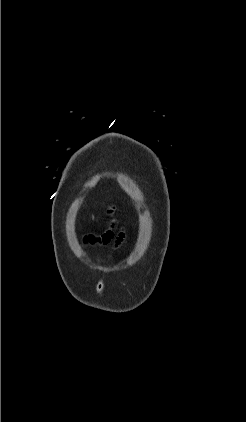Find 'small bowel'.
Returning a JSON list of instances; mask_svg holds the SVG:
<instances>
[{
	"mask_svg": "<svg viewBox=\"0 0 246 422\" xmlns=\"http://www.w3.org/2000/svg\"><path fill=\"white\" fill-rule=\"evenodd\" d=\"M102 242L107 243L109 242L111 239H113V232L111 230L107 231L105 234H103L100 238H99Z\"/></svg>",
	"mask_w": 246,
	"mask_h": 422,
	"instance_id": "1",
	"label": "small bowel"
}]
</instances>
